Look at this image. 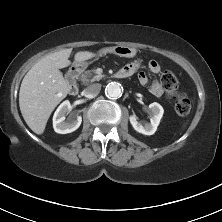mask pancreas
I'll use <instances>...</instances> for the list:
<instances>
[{
	"instance_id": "obj_1",
	"label": "pancreas",
	"mask_w": 222,
	"mask_h": 222,
	"mask_svg": "<svg viewBox=\"0 0 222 222\" xmlns=\"http://www.w3.org/2000/svg\"><path fill=\"white\" fill-rule=\"evenodd\" d=\"M102 77V75H96L95 70H88L81 75V81L83 84L87 85L90 82L99 81Z\"/></svg>"
}]
</instances>
